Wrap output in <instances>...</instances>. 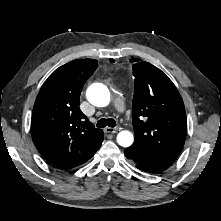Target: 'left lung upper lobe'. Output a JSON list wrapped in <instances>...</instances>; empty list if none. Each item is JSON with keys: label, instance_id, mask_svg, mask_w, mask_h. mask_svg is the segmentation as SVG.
I'll list each match as a JSON object with an SVG mask.
<instances>
[{"label": "left lung upper lobe", "instance_id": "5c2ea615", "mask_svg": "<svg viewBox=\"0 0 221 221\" xmlns=\"http://www.w3.org/2000/svg\"><path fill=\"white\" fill-rule=\"evenodd\" d=\"M135 77L132 122L133 147L172 164L186 137L187 121L183 100L172 81L148 62L132 66Z\"/></svg>", "mask_w": 221, "mask_h": 221}]
</instances>
